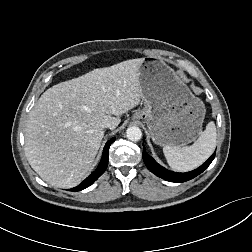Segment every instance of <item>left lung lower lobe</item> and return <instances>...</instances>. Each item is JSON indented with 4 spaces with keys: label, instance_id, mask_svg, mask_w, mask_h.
<instances>
[{
    "label": "left lung lower lobe",
    "instance_id": "0a47b994",
    "mask_svg": "<svg viewBox=\"0 0 252 252\" xmlns=\"http://www.w3.org/2000/svg\"><path fill=\"white\" fill-rule=\"evenodd\" d=\"M214 157L215 153L203 165L193 171L187 173H176L169 171L159 165L150 155H148V153L145 151V148L143 149V160L147 168L158 177L170 182H185L193 179L194 177L202 173L211 164Z\"/></svg>",
    "mask_w": 252,
    "mask_h": 252
}]
</instances>
